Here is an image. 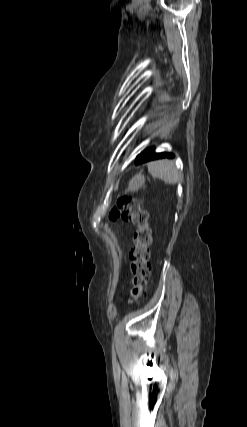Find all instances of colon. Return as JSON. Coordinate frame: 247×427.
<instances>
[{"instance_id":"colon-1","label":"colon","mask_w":247,"mask_h":427,"mask_svg":"<svg viewBox=\"0 0 247 427\" xmlns=\"http://www.w3.org/2000/svg\"><path fill=\"white\" fill-rule=\"evenodd\" d=\"M112 221L122 219L136 226L133 236V248L130 252L131 288L130 299H139L147 285L151 271L150 245L152 233L148 222V212L134 198H119L109 213Z\"/></svg>"}]
</instances>
